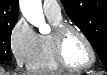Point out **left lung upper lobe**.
Segmentation results:
<instances>
[{
	"instance_id": "1",
	"label": "left lung upper lobe",
	"mask_w": 107,
	"mask_h": 75,
	"mask_svg": "<svg viewBox=\"0 0 107 75\" xmlns=\"http://www.w3.org/2000/svg\"><path fill=\"white\" fill-rule=\"evenodd\" d=\"M107 67V0H61Z\"/></svg>"
}]
</instances>
